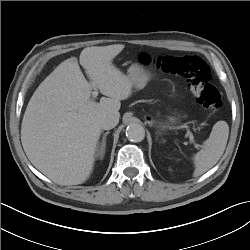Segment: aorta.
<instances>
[{
    "mask_svg": "<svg viewBox=\"0 0 250 250\" xmlns=\"http://www.w3.org/2000/svg\"><path fill=\"white\" fill-rule=\"evenodd\" d=\"M126 136L129 141L141 142L145 138V129L141 124L132 123L126 129Z\"/></svg>",
    "mask_w": 250,
    "mask_h": 250,
    "instance_id": "obj_1",
    "label": "aorta"
}]
</instances>
